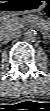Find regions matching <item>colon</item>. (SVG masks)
Returning a JSON list of instances; mask_svg holds the SVG:
<instances>
[{
    "instance_id": "colon-1",
    "label": "colon",
    "mask_w": 50,
    "mask_h": 111,
    "mask_svg": "<svg viewBox=\"0 0 50 111\" xmlns=\"http://www.w3.org/2000/svg\"><path fill=\"white\" fill-rule=\"evenodd\" d=\"M46 12L47 14L50 13V7L47 8Z\"/></svg>"
}]
</instances>
